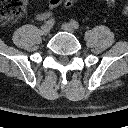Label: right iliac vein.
<instances>
[{
  "mask_svg": "<svg viewBox=\"0 0 128 128\" xmlns=\"http://www.w3.org/2000/svg\"><path fill=\"white\" fill-rule=\"evenodd\" d=\"M41 31L43 35H48L51 31V28L47 25L41 27Z\"/></svg>",
  "mask_w": 128,
  "mask_h": 128,
  "instance_id": "63e3f726",
  "label": "right iliac vein"
}]
</instances>
